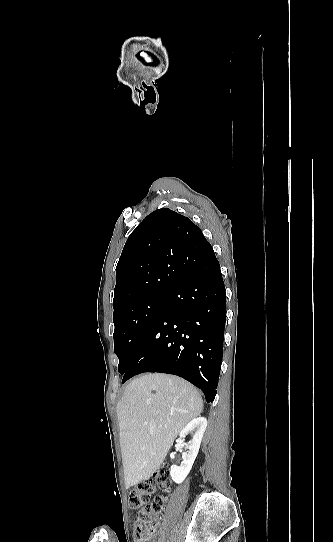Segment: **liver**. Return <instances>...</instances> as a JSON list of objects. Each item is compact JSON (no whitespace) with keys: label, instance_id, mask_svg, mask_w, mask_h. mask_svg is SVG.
<instances>
[{"label":"liver","instance_id":"liver-1","mask_svg":"<svg viewBox=\"0 0 333 542\" xmlns=\"http://www.w3.org/2000/svg\"><path fill=\"white\" fill-rule=\"evenodd\" d=\"M202 410L199 392L178 376L143 374L128 384L117 404L126 490L155 474L175 438Z\"/></svg>","mask_w":333,"mask_h":542}]
</instances>
